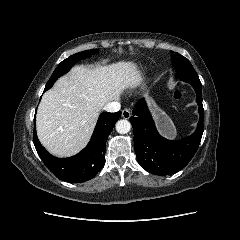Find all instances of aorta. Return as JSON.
<instances>
[{
  "label": "aorta",
  "instance_id": "1",
  "mask_svg": "<svg viewBox=\"0 0 240 240\" xmlns=\"http://www.w3.org/2000/svg\"><path fill=\"white\" fill-rule=\"evenodd\" d=\"M115 127H116V131L119 134H126L131 130V124L126 119H121V120L117 121Z\"/></svg>",
  "mask_w": 240,
  "mask_h": 240
}]
</instances>
